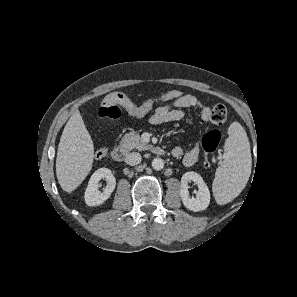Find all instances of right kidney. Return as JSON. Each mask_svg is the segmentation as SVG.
Returning a JSON list of instances; mask_svg holds the SVG:
<instances>
[{"label":"right kidney","instance_id":"1","mask_svg":"<svg viewBox=\"0 0 297 297\" xmlns=\"http://www.w3.org/2000/svg\"><path fill=\"white\" fill-rule=\"evenodd\" d=\"M105 178L108 182L103 192L98 191V182ZM116 180L111 170L108 168H100L91 176L85 191V203L88 206H98L103 204L115 189Z\"/></svg>","mask_w":297,"mask_h":297}]
</instances>
